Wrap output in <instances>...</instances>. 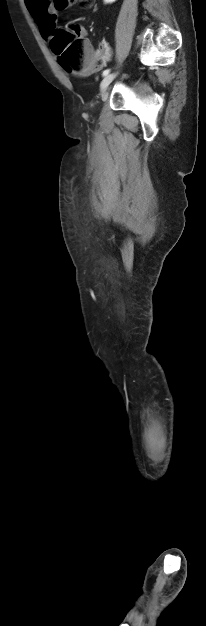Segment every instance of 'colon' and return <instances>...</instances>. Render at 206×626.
Listing matches in <instances>:
<instances>
[{
    "label": "colon",
    "instance_id": "5ec220e1",
    "mask_svg": "<svg viewBox=\"0 0 206 626\" xmlns=\"http://www.w3.org/2000/svg\"><path fill=\"white\" fill-rule=\"evenodd\" d=\"M93 0H51L56 10H65L73 4L88 6ZM78 27L69 25L67 29L55 32L54 50L61 54L64 61L72 68L79 69L83 63L84 45L78 37Z\"/></svg>",
    "mask_w": 206,
    "mask_h": 626
}]
</instances>
